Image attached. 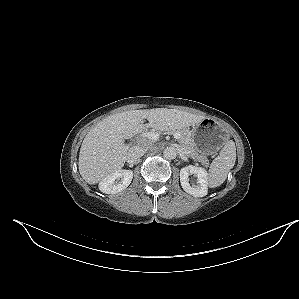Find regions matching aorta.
Wrapping results in <instances>:
<instances>
[{
  "label": "aorta",
  "mask_w": 299,
  "mask_h": 299,
  "mask_svg": "<svg viewBox=\"0 0 299 299\" xmlns=\"http://www.w3.org/2000/svg\"><path fill=\"white\" fill-rule=\"evenodd\" d=\"M163 155L166 159L172 160L177 156V150L174 147H166L163 151Z\"/></svg>",
  "instance_id": "aorta-1"
}]
</instances>
